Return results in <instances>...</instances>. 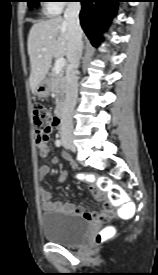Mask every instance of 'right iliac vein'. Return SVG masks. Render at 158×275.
Returning <instances> with one entry per match:
<instances>
[{"instance_id": "63e3f726", "label": "right iliac vein", "mask_w": 158, "mask_h": 275, "mask_svg": "<svg viewBox=\"0 0 158 275\" xmlns=\"http://www.w3.org/2000/svg\"><path fill=\"white\" fill-rule=\"evenodd\" d=\"M63 143L67 148L71 149L73 152H76V147H75V145H74V143L72 142L71 139L65 138L63 140Z\"/></svg>"}]
</instances>
